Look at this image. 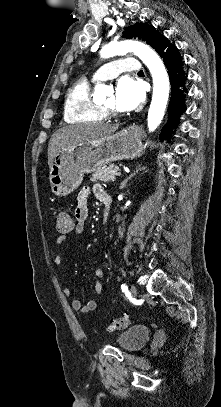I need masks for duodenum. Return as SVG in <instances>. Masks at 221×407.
<instances>
[{
	"label": "duodenum",
	"mask_w": 221,
	"mask_h": 407,
	"mask_svg": "<svg viewBox=\"0 0 221 407\" xmlns=\"http://www.w3.org/2000/svg\"><path fill=\"white\" fill-rule=\"evenodd\" d=\"M110 203H111V198L109 195H106L103 199V204H104V211H103V216H102V225L103 226L106 224L108 216H109Z\"/></svg>",
	"instance_id": "1"
}]
</instances>
